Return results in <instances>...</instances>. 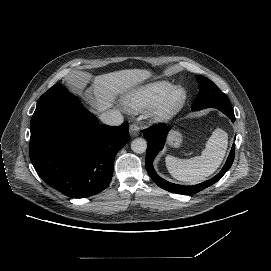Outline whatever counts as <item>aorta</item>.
Listing matches in <instances>:
<instances>
[{"label":"aorta","instance_id":"aorta-1","mask_svg":"<svg viewBox=\"0 0 271 271\" xmlns=\"http://www.w3.org/2000/svg\"><path fill=\"white\" fill-rule=\"evenodd\" d=\"M131 149L134 153L143 154L147 150V142L142 138L135 139L131 143Z\"/></svg>","mask_w":271,"mask_h":271}]
</instances>
